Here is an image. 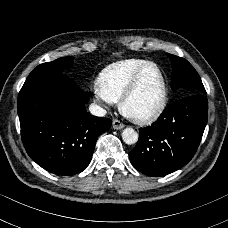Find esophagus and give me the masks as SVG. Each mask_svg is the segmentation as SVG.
I'll return each mask as SVG.
<instances>
[{"mask_svg": "<svg viewBox=\"0 0 228 228\" xmlns=\"http://www.w3.org/2000/svg\"><path fill=\"white\" fill-rule=\"evenodd\" d=\"M113 129L120 130L124 128V124L120 122L119 120H113L112 122Z\"/></svg>", "mask_w": 228, "mask_h": 228, "instance_id": "obj_1", "label": "esophagus"}]
</instances>
